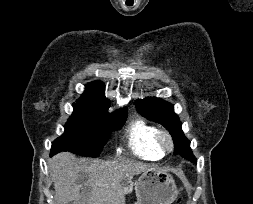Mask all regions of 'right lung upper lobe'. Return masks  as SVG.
<instances>
[{
  "label": "right lung upper lobe",
  "instance_id": "obj_1",
  "mask_svg": "<svg viewBox=\"0 0 253 204\" xmlns=\"http://www.w3.org/2000/svg\"><path fill=\"white\" fill-rule=\"evenodd\" d=\"M76 102L87 106L102 109L106 113H108L107 112L108 100L104 95V84L101 81H94L90 84H87L85 92ZM124 114H127L126 108L117 111V113L113 115V117H119Z\"/></svg>",
  "mask_w": 253,
  "mask_h": 204
}]
</instances>
